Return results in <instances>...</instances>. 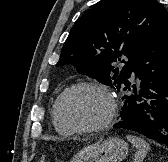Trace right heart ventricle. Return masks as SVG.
I'll return each mask as SVG.
<instances>
[{"instance_id": "e07e8e85", "label": "right heart ventricle", "mask_w": 168, "mask_h": 162, "mask_svg": "<svg viewBox=\"0 0 168 162\" xmlns=\"http://www.w3.org/2000/svg\"><path fill=\"white\" fill-rule=\"evenodd\" d=\"M56 103V101H55ZM55 103L52 106V121H53V125L55 130L61 134V135H70L72 134L73 131L67 129L66 127H64L59 120L57 119L56 113H55Z\"/></svg>"}]
</instances>
